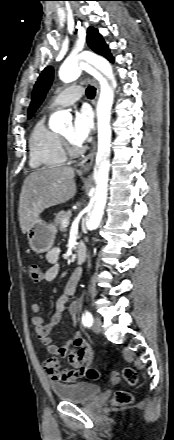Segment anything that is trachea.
<instances>
[{"instance_id":"obj_1","label":"trachea","mask_w":174,"mask_h":440,"mask_svg":"<svg viewBox=\"0 0 174 440\" xmlns=\"http://www.w3.org/2000/svg\"><path fill=\"white\" fill-rule=\"evenodd\" d=\"M96 89L93 86H88L86 90V95L88 98L92 99L95 96Z\"/></svg>"}]
</instances>
